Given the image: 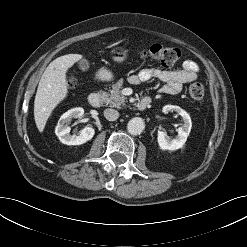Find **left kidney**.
I'll list each match as a JSON object with an SVG mask.
<instances>
[{
  "label": "left kidney",
  "mask_w": 247,
  "mask_h": 247,
  "mask_svg": "<svg viewBox=\"0 0 247 247\" xmlns=\"http://www.w3.org/2000/svg\"><path fill=\"white\" fill-rule=\"evenodd\" d=\"M170 110L177 112L182 117L184 124L178 129V135L175 138H171L166 132L158 131L157 140L160 149L175 151L183 148L191 131L192 122L190 115L179 106L166 105L163 107V112H168Z\"/></svg>",
  "instance_id": "obj_1"
}]
</instances>
